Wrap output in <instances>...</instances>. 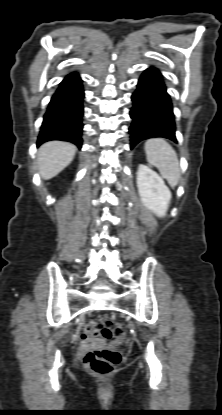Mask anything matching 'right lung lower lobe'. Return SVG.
Here are the masks:
<instances>
[{"label": "right lung lower lobe", "mask_w": 222, "mask_h": 415, "mask_svg": "<svg viewBox=\"0 0 222 415\" xmlns=\"http://www.w3.org/2000/svg\"><path fill=\"white\" fill-rule=\"evenodd\" d=\"M83 99L82 79L78 73H70L62 80L51 98L37 145L49 140H63L81 148Z\"/></svg>", "instance_id": "1"}]
</instances>
